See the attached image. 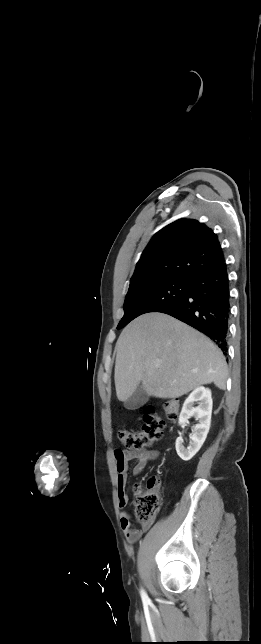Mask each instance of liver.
I'll list each match as a JSON object with an SVG mask.
<instances>
[{"label": "liver", "mask_w": 261, "mask_h": 644, "mask_svg": "<svg viewBox=\"0 0 261 644\" xmlns=\"http://www.w3.org/2000/svg\"><path fill=\"white\" fill-rule=\"evenodd\" d=\"M115 387L125 402L141 383L149 396L178 398L205 384L224 390L228 370L221 350L205 335L163 313L129 323L116 343Z\"/></svg>", "instance_id": "liver-1"}]
</instances>
